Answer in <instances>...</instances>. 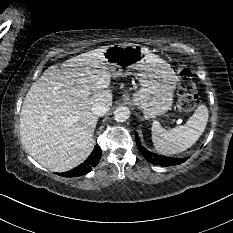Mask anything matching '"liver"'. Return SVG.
Returning a JSON list of instances; mask_svg holds the SVG:
<instances>
[{
	"instance_id": "obj_1",
	"label": "liver",
	"mask_w": 233,
	"mask_h": 233,
	"mask_svg": "<svg viewBox=\"0 0 233 233\" xmlns=\"http://www.w3.org/2000/svg\"><path fill=\"white\" fill-rule=\"evenodd\" d=\"M106 48L50 66L26 94L20 113L22 144L53 172L78 166L93 150L98 116L92 106L98 102L112 105Z\"/></svg>"
}]
</instances>
